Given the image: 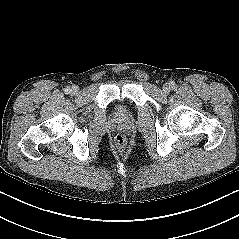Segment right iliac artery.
Returning a JSON list of instances; mask_svg holds the SVG:
<instances>
[{
	"mask_svg": "<svg viewBox=\"0 0 239 239\" xmlns=\"http://www.w3.org/2000/svg\"><path fill=\"white\" fill-rule=\"evenodd\" d=\"M64 91H65L66 94H69V93H71L72 90L70 89V87H67V88H65Z\"/></svg>",
	"mask_w": 239,
	"mask_h": 239,
	"instance_id": "1",
	"label": "right iliac artery"
}]
</instances>
